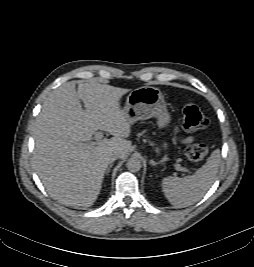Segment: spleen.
I'll list each match as a JSON object with an SVG mask.
<instances>
[{
	"label": "spleen",
	"instance_id": "obj_1",
	"mask_svg": "<svg viewBox=\"0 0 254 267\" xmlns=\"http://www.w3.org/2000/svg\"><path fill=\"white\" fill-rule=\"evenodd\" d=\"M220 165V150L216 149L206 163L194 174L183 178L168 176L162 179V191L176 208H185L198 202L215 181Z\"/></svg>",
	"mask_w": 254,
	"mask_h": 267
}]
</instances>
